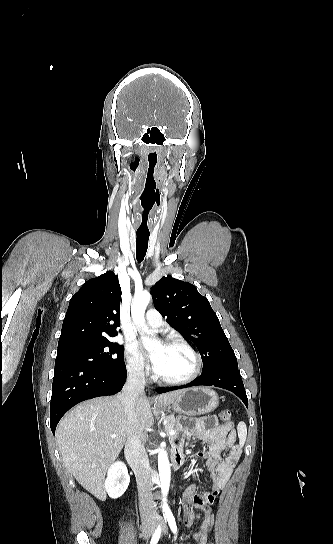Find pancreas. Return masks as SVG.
Here are the masks:
<instances>
[{
  "label": "pancreas",
  "instance_id": "obj_1",
  "mask_svg": "<svg viewBox=\"0 0 333 544\" xmlns=\"http://www.w3.org/2000/svg\"><path fill=\"white\" fill-rule=\"evenodd\" d=\"M164 421H166L165 429L167 431H170V430L180 431L181 430L179 421L173 415H168V416L164 417ZM176 437H177V435H173V436L170 435L169 436L170 439H174Z\"/></svg>",
  "mask_w": 333,
  "mask_h": 544
}]
</instances>
